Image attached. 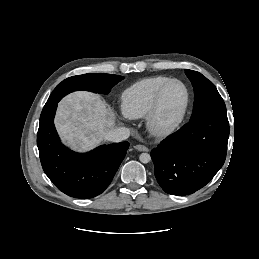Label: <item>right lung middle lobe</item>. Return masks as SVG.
Listing matches in <instances>:
<instances>
[{"label":"right lung middle lobe","instance_id":"right-lung-middle-lobe-1","mask_svg":"<svg viewBox=\"0 0 259 259\" xmlns=\"http://www.w3.org/2000/svg\"><path fill=\"white\" fill-rule=\"evenodd\" d=\"M123 78V76L102 73H88L69 77L57 85L45 106L59 102L65 95L77 90L107 94Z\"/></svg>","mask_w":259,"mask_h":259}]
</instances>
